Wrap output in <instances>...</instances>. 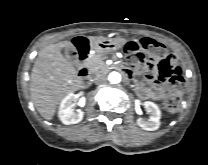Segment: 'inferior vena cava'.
I'll use <instances>...</instances> for the list:
<instances>
[{
    "mask_svg": "<svg viewBox=\"0 0 208 165\" xmlns=\"http://www.w3.org/2000/svg\"><path fill=\"white\" fill-rule=\"evenodd\" d=\"M95 82L96 84H104L107 82V77L105 75H98Z\"/></svg>",
    "mask_w": 208,
    "mask_h": 165,
    "instance_id": "602c4592",
    "label": "inferior vena cava"
}]
</instances>
